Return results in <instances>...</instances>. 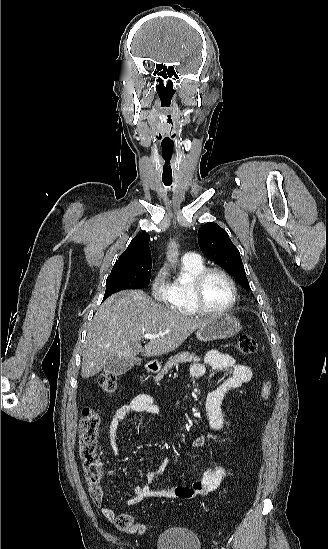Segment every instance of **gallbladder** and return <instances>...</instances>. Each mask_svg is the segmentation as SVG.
<instances>
[{
	"instance_id": "1",
	"label": "gallbladder",
	"mask_w": 328,
	"mask_h": 549,
	"mask_svg": "<svg viewBox=\"0 0 328 549\" xmlns=\"http://www.w3.org/2000/svg\"><path fill=\"white\" fill-rule=\"evenodd\" d=\"M143 359L139 357H128V359H118V357H108L105 361L103 367L105 375H114V377H119V375H125L127 371H130L135 365H141Z\"/></svg>"
}]
</instances>
